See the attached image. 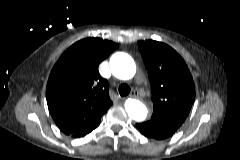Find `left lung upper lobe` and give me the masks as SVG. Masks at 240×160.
<instances>
[{
    "label": "left lung upper lobe",
    "instance_id": "1",
    "mask_svg": "<svg viewBox=\"0 0 240 160\" xmlns=\"http://www.w3.org/2000/svg\"><path fill=\"white\" fill-rule=\"evenodd\" d=\"M151 83L153 114L149 121L175 133L187 118L195 98V85L182 57L162 42L139 41Z\"/></svg>",
    "mask_w": 240,
    "mask_h": 160
}]
</instances>
